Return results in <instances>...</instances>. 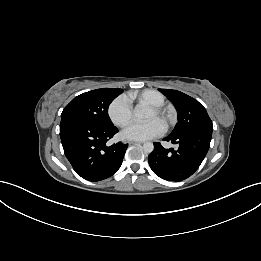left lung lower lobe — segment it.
Segmentation results:
<instances>
[{
  "instance_id": "1",
  "label": "left lung lower lobe",
  "mask_w": 261,
  "mask_h": 261,
  "mask_svg": "<svg viewBox=\"0 0 261 261\" xmlns=\"http://www.w3.org/2000/svg\"><path fill=\"white\" fill-rule=\"evenodd\" d=\"M212 137L210 129H196L170 134L164 140L176 148L165 149L154 143V150L148 156L152 171L162 179L182 181L191 176L205 158Z\"/></svg>"
}]
</instances>
